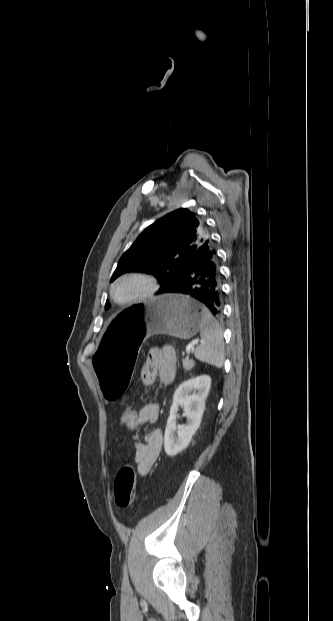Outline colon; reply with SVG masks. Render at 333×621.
<instances>
[{
    "instance_id": "colon-1",
    "label": "colon",
    "mask_w": 333,
    "mask_h": 621,
    "mask_svg": "<svg viewBox=\"0 0 333 621\" xmlns=\"http://www.w3.org/2000/svg\"><path fill=\"white\" fill-rule=\"evenodd\" d=\"M121 422L132 429L139 422V410L131 404H125L121 413ZM136 476L132 467H122L114 482V497L116 505L120 508H129L135 499Z\"/></svg>"
}]
</instances>
